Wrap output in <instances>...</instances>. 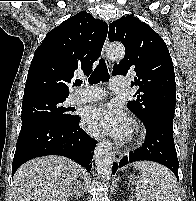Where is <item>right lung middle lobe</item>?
<instances>
[{"instance_id": "obj_1", "label": "right lung middle lobe", "mask_w": 196, "mask_h": 201, "mask_svg": "<svg viewBox=\"0 0 196 201\" xmlns=\"http://www.w3.org/2000/svg\"><path fill=\"white\" fill-rule=\"evenodd\" d=\"M67 96L35 95L23 98L22 121L32 118H46L61 123L71 122L76 118L70 107L63 106Z\"/></svg>"}]
</instances>
